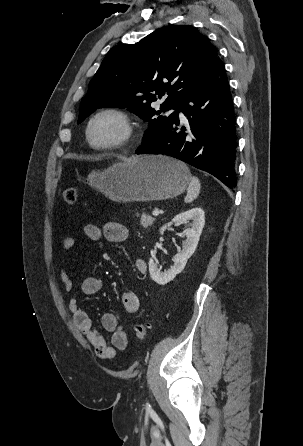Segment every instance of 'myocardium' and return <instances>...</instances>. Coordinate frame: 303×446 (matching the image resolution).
I'll return each instance as SVG.
<instances>
[{
	"label": "myocardium",
	"mask_w": 303,
	"mask_h": 446,
	"mask_svg": "<svg viewBox=\"0 0 303 446\" xmlns=\"http://www.w3.org/2000/svg\"><path fill=\"white\" fill-rule=\"evenodd\" d=\"M104 116H110L114 118L121 127V133L114 141L103 145H97L91 139V128L97 119ZM135 134H136V123L132 115L128 111L118 107H105L96 111L89 118L85 128V138L88 145L92 149L99 151L114 150L122 146H125L130 141H132V139L135 137Z\"/></svg>",
	"instance_id": "1"
}]
</instances>
